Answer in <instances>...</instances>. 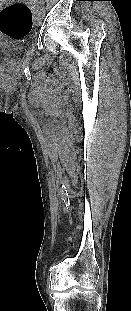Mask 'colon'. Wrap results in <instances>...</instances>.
I'll list each match as a JSON object with an SVG mask.
<instances>
[{
	"mask_svg": "<svg viewBox=\"0 0 131 311\" xmlns=\"http://www.w3.org/2000/svg\"><path fill=\"white\" fill-rule=\"evenodd\" d=\"M33 26L32 12L28 5L15 2L0 10V33L12 39L26 37Z\"/></svg>",
	"mask_w": 131,
	"mask_h": 311,
	"instance_id": "5ec220e1",
	"label": "colon"
}]
</instances>
